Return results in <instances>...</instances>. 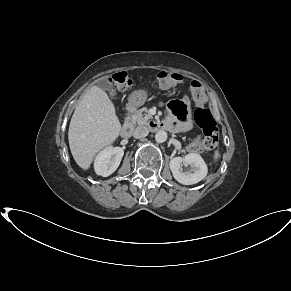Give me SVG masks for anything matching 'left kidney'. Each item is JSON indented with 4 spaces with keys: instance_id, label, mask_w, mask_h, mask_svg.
<instances>
[{
    "instance_id": "left-kidney-1",
    "label": "left kidney",
    "mask_w": 291,
    "mask_h": 291,
    "mask_svg": "<svg viewBox=\"0 0 291 291\" xmlns=\"http://www.w3.org/2000/svg\"><path fill=\"white\" fill-rule=\"evenodd\" d=\"M183 165H190V169L184 171ZM169 166L174 178L184 185L198 183L206 177L208 171L205 161L197 153H189L184 158L175 157L170 160Z\"/></svg>"
}]
</instances>
